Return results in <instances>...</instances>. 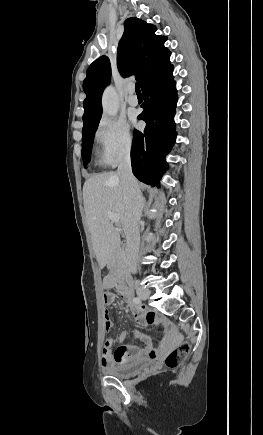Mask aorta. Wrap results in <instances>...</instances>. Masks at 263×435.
<instances>
[{
  "label": "aorta",
  "mask_w": 263,
  "mask_h": 435,
  "mask_svg": "<svg viewBox=\"0 0 263 435\" xmlns=\"http://www.w3.org/2000/svg\"><path fill=\"white\" fill-rule=\"evenodd\" d=\"M103 112L109 116H115L118 112V102L113 87H108L102 97Z\"/></svg>",
  "instance_id": "1"
}]
</instances>
